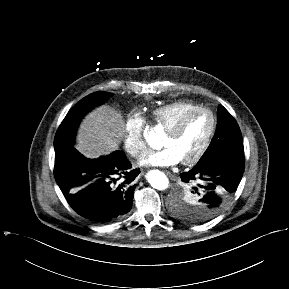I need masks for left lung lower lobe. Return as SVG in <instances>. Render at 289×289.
Returning a JSON list of instances; mask_svg holds the SVG:
<instances>
[{"instance_id": "0a47b994", "label": "left lung lower lobe", "mask_w": 289, "mask_h": 289, "mask_svg": "<svg viewBox=\"0 0 289 289\" xmlns=\"http://www.w3.org/2000/svg\"><path fill=\"white\" fill-rule=\"evenodd\" d=\"M242 155L215 158L180 174L185 183L195 184L192 191L201 206L200 215L212 219L229 203L244 171Z\"/></svg>"}]
</instances>
